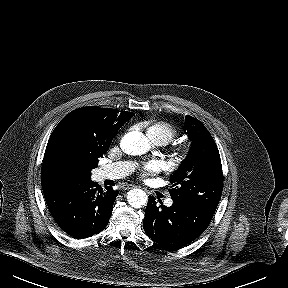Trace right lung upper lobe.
<instances>
[{
    "instance_id": "right-lung-upper-lobe-1",
    "label": "right lung upper lobe",
    "mask_w": 288,
    "mask_h": 288,
    "mask_svg": "<svg viewBox=\"0 0 288 288\" xmlns=\"http://www.w3.org/2000/svg\"><path fill=\"white\" fill-rule=\"evenodd\" d=\"M134 116L116 109L83 107L67 114L52 132L41 168L43 192L76 186L87 181L86 169L95 151L112 142L121 126ZM64 155L73 159L77 167L69 173H57L51 159Z\"/></svg>"
}]
</instances>
